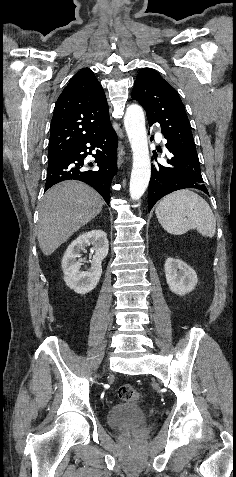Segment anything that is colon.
Here are the masks:
<instances>
[{
	"mask_svg": "<svg viewBox=\"0 0 236 477\" xmlns=\"http://www.w3.org/2000/svg\"><path fill=\"white\" fill-rule=\"evenodd\" d=\"M120 399L128 402H138L141 395L136 387L131 384H124L118 389Z\"/></svg>",
	"mask_w": 236,
	"mask_h": 477,
	"instance_id": "5ec220e1",
	"label": "colon"
}]
</instances>
